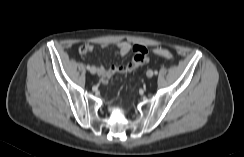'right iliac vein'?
<instances>
[{"label": "right iliac vein", "instance_id": "obj_1", "mask_svg": "<svg viewBox=\"0 0 244 157\" xmlns=\"http://www.w3.org/2000/svg\"><path fill=\"white\" fill-rule=\"evenodd\" d=\"M90 73H91V74H96V68H95V67H92V68L90 69Z\"/></svg>", "mask_w": 244, "mask_h": 157}]
</instances>
